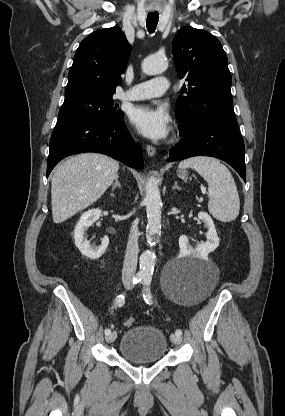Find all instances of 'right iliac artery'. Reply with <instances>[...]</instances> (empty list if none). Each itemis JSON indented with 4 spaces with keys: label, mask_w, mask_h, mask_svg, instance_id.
I'll return each mask as SVG.
<instances>
[{
    "label": "right iliac artery",
    "mask_w": 285,
    "mask_h": 416,
    "mask_svg": "<svg viewBox=\"0 0 285 416\" xmlns=\"http://www.w3.org/2000/svg\"><path fill=\"white\" fill-rule=\"evenodd\" d=\"M143 274L138 272L132 281V284L135 285L139 282H141L143 280ZM125 303V295L124 294H120L115 298V305L118 307H122ZM105 335H109L111 333V330L109 328H106L104 331Z\"/></svg>",
    "instance_id": "obj_1"
}]
</instances>
